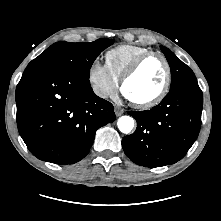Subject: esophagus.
<instances>
[{
    "mask_svg": "<svg viewBox=\"0 0 221 221\" xmlns=\"http://www.w3.org/2000/svg\"><path fill=\"white\" fill-rule=\"evenodd\" d=\"M114 111H115L116 116H121L124 113V109L119 106H115Z\"/></svg>",
    "mask_w": 221,
    "mask_h": 221,
    "instance_id": "esophagus-1",
    "label": "esophagus"
}]
</instances>
